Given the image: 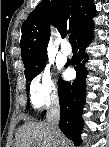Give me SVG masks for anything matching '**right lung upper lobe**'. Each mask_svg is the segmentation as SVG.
Here are the masks:
<instances>
[{
	"mask_svg": "<svg viewBox=\"0 0 109 147\" xmlns=\"http://www.w3.org/2000/svg\"><path fill=\"white\" fill-rule=\"evenodd\" d=\"M93 0H43L24 21L21 31V55L25 68L35 66L47 56L50 38L49 23L61 35L73 32L77 36L93 19Z\"/></svg>",
	"mask_w": 109,
	"mask_h": 147,
	"instance_id": "1",
	"label": "right lung upper lobe"
}]
</instances>
